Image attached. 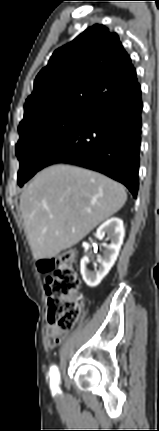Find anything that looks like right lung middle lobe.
Segmentation results:
<instances>
[{
    "instance_id": "right-lung-middle-lobe-1",
    "label": "right lung middle lobe",
    "mask_w": 159,
    "mask_h": 431,
    "mask_svg": "<svg viewBox=\"0 0 159 431\" xmlns=\"http://www.w3.org/2000/svg\"><path fill=\"white\" fill-rule=\"evenodd\" d=\"M87 116L88 114L81 112H59L18 129L20 138L16 145V155L20 162V186L41 170L42 161L49 150Z\"/></svg>"
}]
</instances>
